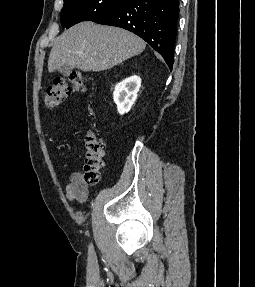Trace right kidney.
Here are the masks:
<instances>
[{
    "instance_id": "obj_1",
    "label": "right kidney",
    "mask_w": 255,
    "mask_h": 287,
    "mask_svg": "<svg viewBox=\"0 0 255 287\" xmlns=\"http://www.w3.org/2000/svg\"><path fill=\"white\" fill-rule=\"evenodd\" d=\"M141 78L139 76H130L116 84L113 92V100L117 104L119 114H126L131 110L137 94L140 90Z\"/></svg>"
}]
</instances>
